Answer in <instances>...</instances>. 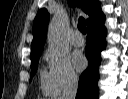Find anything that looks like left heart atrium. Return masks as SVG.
<instances>
[{
  "label": "left heart atrium",
  "instance_id": "1",
  "mask_svg": "<svg viewBox=\"0 0 128 99\" xmlns=\"http://www.w3.org/2000/svg\"><path fill=\"white\" fill-rule=\"evenodd\" d=\"M74 63L78 70H83L86 67V58L81 53L74 55Z\"/></svg>",
  "mask_w": 128,
  "mask_h": 99
}]
</instances>
